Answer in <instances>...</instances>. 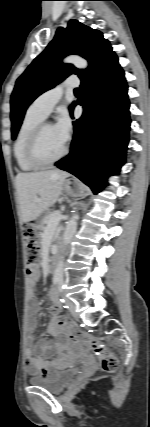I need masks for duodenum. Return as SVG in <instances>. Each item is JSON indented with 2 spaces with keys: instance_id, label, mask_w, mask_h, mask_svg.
<instances>
[{
  "instance_id": "obj_1",
  "label": "duodenum",
  "mask_w": 150,
  "mask_h": 427,
  "mask_svg": "<svg viewBox=\"0 0 150 427\" xmlns=\"http://www.w3.org/2000/svg\"><path fill=\"white\" fill-rule=\"evenodd\" d=\"M56 262H57V256H56V252L54 253V256L51 258L50 260V267L53 269L56 266Z\"/></svg>"
}]
</instances>
